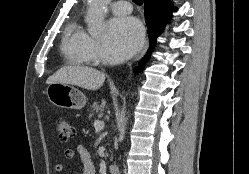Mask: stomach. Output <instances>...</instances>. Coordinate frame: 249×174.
Returning a JSON list of instances; mask_svg holds the SVG:
<instances>
[{
    "label": "stomach",
    "mask_w": 249,
    "mask_h": 174,
    "mask_svg": "<svg viewBox=\"0 0 249 174\" xmlns=\"http://www.w3.org/2000/svg\"><path fill=\"white\" fill-rule=\"evenodd\" d=\"M46 93L53 105L62 108L81 109L87 100L81 91L63 83L49 84Z\"/></svg>",
    "instance_id": "stomach-1"
}]
</instances>
